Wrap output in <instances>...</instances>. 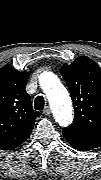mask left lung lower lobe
I'll list each match as a JSON object with an SVG mask.
<instances>
[{"mask_svg": "<svg viewBox=\"0 0 101 180\" xmlns=\"http://www.w3.org/2000/svg\"><path fill=\"white\" fill-rule=\"evenodd\" d=\"M66 141L75 149L80 151H87L97 147L99 144L89 141L84 138L75 137L74 135L63 132Z\"/></svg>", "mask_w": 101, "mask_h": 180, "instance_id": "obj_1", "label": "left lung lower lobe"}]
</instances>
